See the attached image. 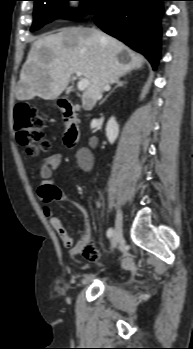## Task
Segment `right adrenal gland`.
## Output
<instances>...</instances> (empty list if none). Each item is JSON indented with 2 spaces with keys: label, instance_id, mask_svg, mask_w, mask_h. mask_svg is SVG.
Segmentation results:
<instances>
[{
  "label": "right adrenal gland",
  "instance_id": "right-adrenal-gland-1",
  "mask_svg": "<svg viewBox=\"0 0 193 349\" xmlns=\"http://www.w3.org/2000/svg\"><path fill=\"white\" fill-rule=\"evenodd\" d=\"M114 83L116 84L115 87L113 88L112 91H110V92L106 95V97L100 102V104L103 103V102L109 97V95H110L116 88H118V87H123L124 84H126L125 81H121V80H119V79H116Z\"/></svg>",
  "mask_w": 193,
  "mask_h": 349
}]
</instances>
